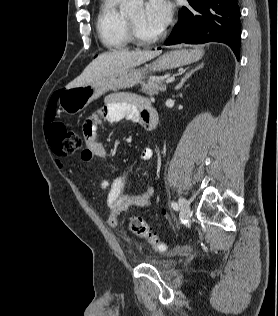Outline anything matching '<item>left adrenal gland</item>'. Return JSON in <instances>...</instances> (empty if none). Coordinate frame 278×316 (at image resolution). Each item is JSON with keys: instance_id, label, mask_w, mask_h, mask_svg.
<instances>
[{"instance_id": "a2214340", "label": "left adrenal gland", "mask_w": 278, "mask_h": 316, "mask_svg": "<svg viewBox=\"0 0 278 316\" xmlns=\"http://www.w3.org/2000/svg\"><path fill=\"white\" fill-rule=\"evenodd\" d=\"M204 64L201 63L197 65L194 69H192L190 72L186 73V75L181 79L180 83L175 87V90H179L182 88L184 83L189 79L197 70L203 68Z\"/></svg>"}]
</instances>
